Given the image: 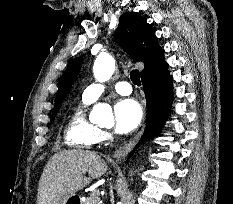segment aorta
Segmentation results:
<instances>
[{"mask_svg":"<svg viewBox=\"0 0 233 204\" xmlns=\"http://www.w3.org/2000/svg\"><path fill=\"white\" fill-rule=\"evenodd\" d=\"M115 70V60L108 54L97 57L93 66L94 77L99 82H105L111 78ZM90 121L93 123L109 124L114 122V116L110 105L98 103L94 105L90 113Z\"/></svg>","mask_w":233,"mask_h":204,"instance_id":"1","label":"aorta"}]
</instances>
